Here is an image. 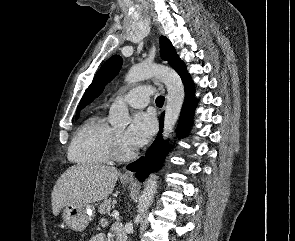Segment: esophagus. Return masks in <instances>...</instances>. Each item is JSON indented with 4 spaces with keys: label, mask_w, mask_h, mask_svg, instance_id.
<instances>
[{
    "label": "esophagus",
    "mask_w": 295,
    "mask_h": 241,
    "mask_svg": "<svg viewBox=\"0 0 295 241\" xmlns=\"http://www.w3.org/2000/svg\"><path fill=\"white\" fill-rule=\"evenodd\" d=\"M122 177L125 178V179H133V178H134V173L131 172V171H126V172L123 174Z\"/></svg>",
    "instance_id": "1"
}]
</instances>
